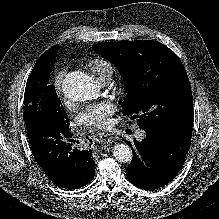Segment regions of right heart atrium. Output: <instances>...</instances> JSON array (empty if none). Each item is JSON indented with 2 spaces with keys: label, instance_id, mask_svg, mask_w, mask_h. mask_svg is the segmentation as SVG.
<instances>
[{
  "label": "right heart atrium",
  "instance_id": "obj_1",
  "mask_svg": "<svg viewBox=\"0 0 219 219\" xmlns=\"http://www.w3.org/2000/svg\"><path fill=\"white\" fill-rule=\"evenodd\" d=\"M66 75V71L64 69H61L58 71V73L55 76V80H54V85L56 90L60 91L61 90V86L64 80V77Z\"/></svg>",
  "mask_w": 219,
  "mask_h": 219
}]
</instances>
